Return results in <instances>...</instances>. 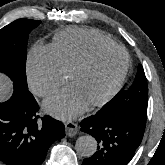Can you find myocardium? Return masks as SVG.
<instances>
[{
  "label": "myocardium",
  "mask_w": 165,
  "mask_h": 165,
  "mask_svg": "<svg viewBox=\"0 0 165 165\" xmlns=\"http://www.w3.org/2000/svg\"><path fill=\"white\" fill-rule=\"evenodd\" d=\"M110 50H117L123 53L125 62L123 69L121 73L119 74L116 81L113 83V85L110 87V89L99 99L92 101L89 104V106L92 107H98L106 104L109 102L121 89L122 85L125 82L129 67H130V57L128 52L121 47L120 45L110 44V45H100L96 46L93 49H91L70 71L69 73V79L72 83L74 80V77L81 72L82 70L86 69L94 60L95 58L102 52L110 51Z\"/></svg>",
  "instance_id": "myocardium-1"
}]
</instances>
